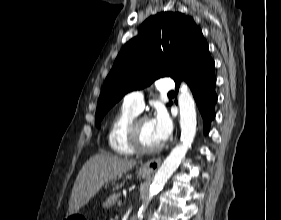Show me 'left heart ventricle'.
<instances>
[{"mask_svg": "<svg viewBox=\"0 0 281 220\" xmlns=\"http://www.w3.org/2000/svg\"><path fill=\"white\" fill-rule=\"evenodd\" d=\"M141 142L146 147H154L160 144L156 138L152 122L149 119L143 120L139 126Z\"/></svg>", "mask_w": 281, "mask_h": 220, "instance_id": "left-heart-ventricle-1", "label": "left heart ventricle"}]
</instances>
